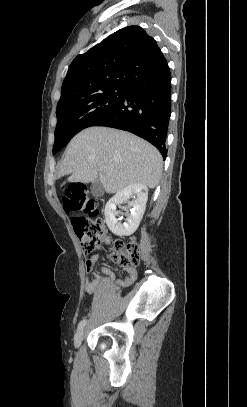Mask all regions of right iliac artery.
Instances as JSON below:
<instances>
[{
    "label": "right iliac artery",
    "instance_id": "82829eb1",
    "mask_svg": "<svg viewBox=\"0 0 247 407\" xmlns=\"http://www.w3.org/2000/svg\"><path fill=\"white\" fill-rule=\"evenodd\" d=\"M86 322H87L86 319L82 320V321L78 324V330H81V329L85 326Z\"/></svg>",
    "mask_w": 247,
    "mask_h": 407
}]
</instances>
